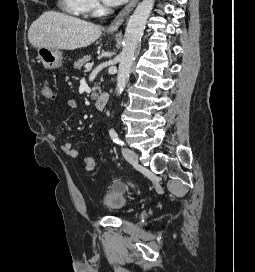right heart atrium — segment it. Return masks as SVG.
Wrapping results in <instances>:
<instances>
[{"label":"right heart atrium","instance_id":"d8ad5b80","mask_svg":"<svg viewBox=\"0 0 255 272\" xmlns=\"http://www.w3.org/2000/svg\"><path fill=\"white\" fill-rule=\"evenodd\" d=\"M84 12L90 13L98 8L97 0H82Z\"/></svg>","mask_w":255,"mask_h":272}]
</instances>
